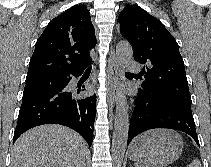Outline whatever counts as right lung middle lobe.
<instances>
[{
	"label": "right lung middle lobe",
	"instance_id": "right-lung-middle-lobe-1",
	"mask_svg": "<svg viewBox=\"0 0 211 167\" xmlns=\"http://www.w3.org/2000/svg\"><path fill=\"white\" fill-rule=\"evenodd\" d=\"M59 86H60V80L55 79L54 77L38 78V79L26 81L24 92L56 88Z\"/></svg>",
	"mask_w": 211,
	"mask_h": 167
}]
</instances>
